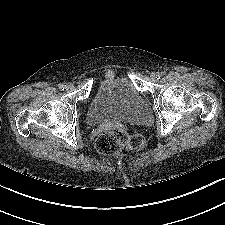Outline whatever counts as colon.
<instances>
[{
	"instance_id": "obj_1",
	"label": "colon",
	"mask_w": 225,
	"mask_h": 225,
	"mask_svg": "<svg viewBox=\"0 0 225 225\" xmlns=\"http://www.w3.org/2000/svg\"><path fill=\"white\" fill-rule=\"evenodd\" d=\"M145 143V137L140 133L128 134L121 129H111L98 136L96 148L102 154L111 155L123 150L141 149Z\"/></svg>"
}]
</instances>
